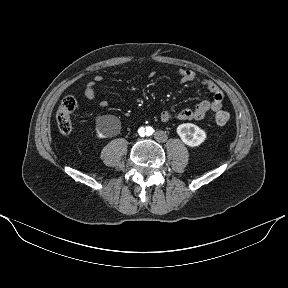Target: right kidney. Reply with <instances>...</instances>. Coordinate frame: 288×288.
<instances>
[{
	"instance_id": "ca27d5eb",
	"label": "right kidney",
	"mask_w": 288,
	"mask_h": 288,
	"mask_svg": "<svg viewBox=\"0 0 288 288\" xmlns=\"http://www.w3.org/2000/svg\"><path fill=\"white\" fill-rule=\"evenodd\" d=\"M115 117L111 115L101 116L97 119L96 131L99 138H107L112 136V123L115 121Z\"/></svg>"
}]
</instances>
